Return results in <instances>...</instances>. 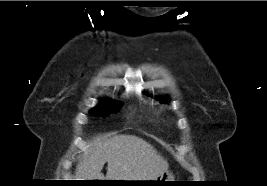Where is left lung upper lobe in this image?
I'll list each match as a JSON object with an SVG mask.
<instances>
[{
	"label": "left lung upper lobe",
	"instance_id": "1",
	"mask_svg": "<svg viewBox=\"0 0 267 186\" xmlns=\"http://www.w3.org/2000/svg\"><path fill=\"white\" fill-rule=\"evenodd\" d=\"M166 100H167V97H164V98L161 100V102H166Z\"/></svg>",
	"mask_w": 267,
	"mask_h": 186
}]
</instances>
